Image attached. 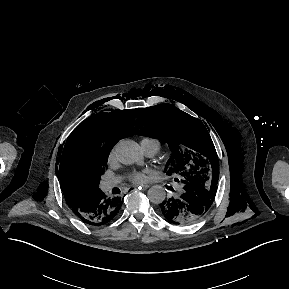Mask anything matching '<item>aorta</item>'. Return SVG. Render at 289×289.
Returning a JSON list of instances; mask_svg holds the SVG:
<instances>
[{
    "mask_svg": "<svg viewBox=\"0 0 289 289\" xmlns=\"http://www.w3.org/2000/svg\"><path fill=\"white\" fill-rule=\"evenodd\" d=\"M118 160L126 165L140 163L143 160L142 152L138 143L130 139H123L116 146ZM148 198L154 204L162 203L166 198L165 188L154 185L148 190Z\"/></svg>",
    "mask_w": 289,
    "mask_h": 289,
    "instance_id": "aorta-1",
    "label": "aorta"
}]
</instances>
